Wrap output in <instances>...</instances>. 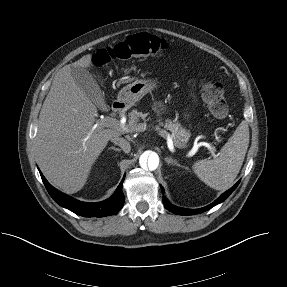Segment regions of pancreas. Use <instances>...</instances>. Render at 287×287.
Segmentation results:
<instances>
[{
  "instance_id": "cf45deb5",
  "label": "pancreas",
  "mask_w": 287,
  "mask_h": 287,
  "mask_svg": "<svg viewBox=\"0 0 287 287\" xmlns=\"http://www.w3.org/2000/svg\"><path fill=\"white\" fill-rule=\"evenodd\" d=\"M147 117V113L143 114L139 112L137 109L132 110L129 113V121H128V128L131 131H142L139 129L141 123H139L140 119H144ZM161 126H164L166 130H169L172 133L173 141L178 147V145H185L189 138L190 132L181 126V124L177 121V119L171 120L166 119L165 122L162 119L158 120Z\"/></svg>"
}]
</instances>
